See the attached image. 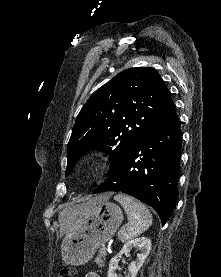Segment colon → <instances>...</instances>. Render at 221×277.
Masks as SVG:
<instances>
[{"label":"colon","mask_w":221,"mask_h":277,"mask_svg":"<svg viewBox=\"0 0 221 277\" xmlns=\"http://www.w3.org/2000/svg\"><path fill=\"white\" fill-rule=\"evenodd\" d=\"M77 272L73 268H64L60 271L59 277H77Z\"/></svg>","instance_id":"colon-1"}]
</instances>
